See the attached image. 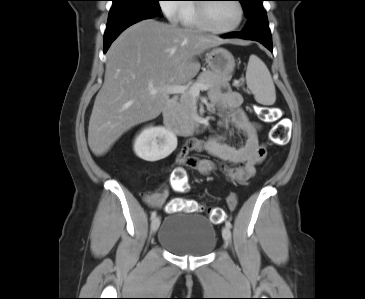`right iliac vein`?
<instances>
[{
    "mask_svg": "<svg viewBox=\"0 0 365 299\" xmlns=\"http://www.w3.org/2000/svg\"><path fill=\"white\" fill-rule=\"evenodd\" d=\"M159 226H160V218L159 217H154L152 222H151V232L156 233Z\"/></svg>",
    "mask_w": 365,
    "mask_h": 299,
    "instance_id": "obj_1",
    "label": "right iliac vein"
}]
</instances>
